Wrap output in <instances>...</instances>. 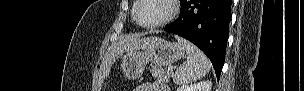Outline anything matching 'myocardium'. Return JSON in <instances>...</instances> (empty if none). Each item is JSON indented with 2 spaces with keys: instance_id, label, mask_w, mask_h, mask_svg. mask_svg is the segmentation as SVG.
I'll return each instance as SVG.
<instances>
[{
  "instance_id": "obj_1",
  "label": "myocardium",
  "mask_w": 304,
  "mask_h": 91,
  "mask_svg": "<svg viewBox=\"0 0 304 91\" xmlns=\"http://www.w3.org/2000/svg\"><path fill=\"white\" fill-rule=\"evenodd\" d=\"M165 1L167 2V4L170 7L169 14L165 18H163L162 20H160L156 23L143 24L140 22V20L138 18V11L143 3V0H137L134 11H133V19H134L135 23L142 28L155 29V28L163 27V26L171 23L172 21H174L180 12V5H179L180 2L178 0H165Z\"/></svg>"
}]
</instances>
